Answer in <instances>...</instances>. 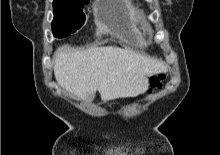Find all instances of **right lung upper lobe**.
<instances>
[{
	"label": "right lung upper lobe",
	"instance_id": "obj_1",
	"mask_svg": "<svg viewBox=\"0 0 220 155\" xmlns=\"http://www.w3.org/2000/svg\"><path fill=\"white\" fill-rule=\"evenodd\" d=\"M54 1L88 2L89 0H54Z\"/></svg>",
	"mask_w": 220,
	"mask_h": 155
}]
</instances>
